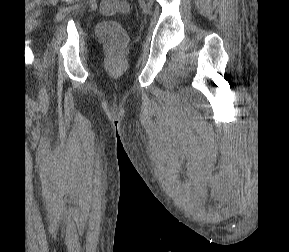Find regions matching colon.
<instances>
[{
	"label": "colon",
	"mask_w": 289,
	"mask_h": 252,
	"mask_svg": "<svg viewBox=\"0 0 289 252\" xmlns=\"http://www.w3.org/2000/svg\"><path fill=\"white\" fill-rule=\"evenodd\" d=\"M129 4L125 0H101L100 11L104 15L129 12ZM97 35L109 48L113 58L117 60L127 42V34L117 21H102L97 26Z\"/></svg>",
	"instance_id": "5ec220e1"
}]
</instances>
